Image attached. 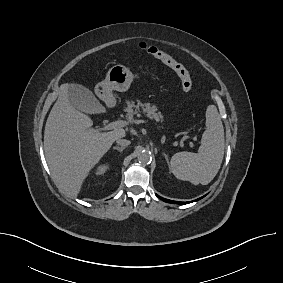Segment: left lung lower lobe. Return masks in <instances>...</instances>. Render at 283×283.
Wrapping results in <instances>:
<instances>
[{
    "instance_id": "1",
    "label": "left lung lower lobe",
    "mask_w": 283,
    "mask_h": 283,
    "mask_svg": "<svg viewBox=\"0 0 283 283\" xmlns=\"http://www.w3.org/2000/svg\"><path fill=\"white\" fill-rule=\"evenodd\" d=\"M158 196V195H157ZM159 197V196H158ZM204 197V196H203ZM201 197V198H203ZM161 200H163L164 202H168V203H173V204H187V203H190V202H178V201H171V200H168V199H165V198H162V197H159ZM199 198V199H201ZM199 199L195 200V201H198Z\"/></svg>"
}]
</instances>
